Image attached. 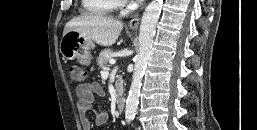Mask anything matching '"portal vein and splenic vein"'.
I'll use <instances>...</instances> for the list:
<instances>
[{"label":"portal vein and splenic vein","mask_w":257,"mask_h":130,"mask_svg":"<svg viewBox=\"0 0 257 130\" xmlns=\"http://www.w3.org/2000/svg\"><path fill=\"white\" fill-rule=\"evenodd\" d=\"M109 63H110L111 65H114V64L116 63V61H115L114 59H110Z\"/></svg>","instance_id":"1"}]
</instances>
